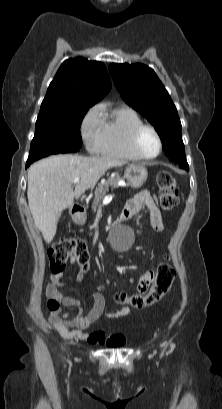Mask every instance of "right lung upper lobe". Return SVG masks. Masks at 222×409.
<instances>
[{
    "instance_id": "obj_1",
    "label": "right lung upper lobe",
    "mask_w": 222,
    "mask_h": 409,
    "mask_svg": "<svg viewBox=\"0 0 222 409\" xmlns=\"http://www.w3.org/2000/svg\"><path fill=\"white\" fill-rule=\"evenodd\" d=\"M110 89L111 81L101 62L88 61L83 57L68 59L62 63L50 83L41 109L69 105L93 106Z\"/></svg>"
}]
</instances>
